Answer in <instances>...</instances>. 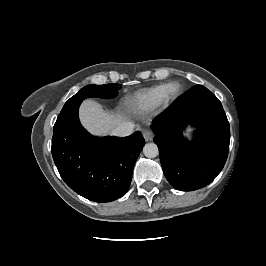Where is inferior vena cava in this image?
Segmentation results:
<instances>
[{
    "label": "inferior vena cava",
    "instance_id": "1",
    "mask_svg": "<svg viewBox=\"0 0 266 266\" xmlns=\"http://www.w3.org/2000/svg\"><path fill=\"white\" fill-rule=\"evenodd\" d=\"M134 124L131 122H123L119 124L112 133L119 137L129 136L133 133Z\"/></svg>",
    "mask_w": 266,
    "mask_h": 266
}]
</instances>
